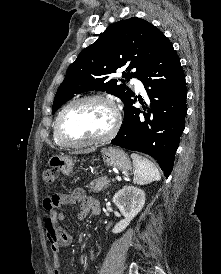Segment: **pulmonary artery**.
I'll list each match as a JSON object with an SVG mask.
<instances>
[{"instance_id":"pulmonary-artery-1","label":"pulmonary artery","mask_w":221,"mask_h":274,"mask_svg":"<svg viewBox=\"0 0 221 274\" xmlns=\"http://www.w3.org/2000/svg\"><path fill=\"white\" fill-rule=\"evenodd\" d=\"M133 83L135 84V87L138 91L143 90V84L138 79L134 78Z\"/></svg>"}]
</instances>
